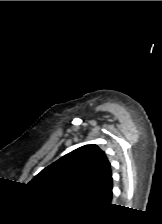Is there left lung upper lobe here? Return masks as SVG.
I'll return each mask as SVG.
<instances>
[{
  "label": "left lung upper lobe",
  "instance_id": "left-lung-upper-lobe-1",
  "mask_svg": "<svg viewBox=\"0 0 162 224\" xmlns=\"http://www.w3.org/2000/svg\"><path fill=\"white\" fill-rule=\"evenodd\" d=\"M110 177L105 153L96 145H85L43 169L29 184L59 197L87 199Z\"/></svg>",
  "mask_w": 162,
  "mask_h": 224
}]
</instances>
